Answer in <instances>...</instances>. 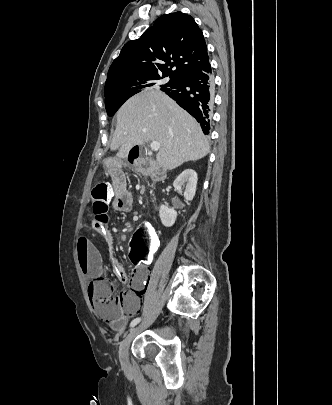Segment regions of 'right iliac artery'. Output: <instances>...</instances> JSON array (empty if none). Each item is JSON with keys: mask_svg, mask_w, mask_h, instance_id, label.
<instances>
[{"mask_svg": "<svg viewBox=\"0 0 332 405\" xmlns=\"http://www.w3.org/2000/svg\"><path fill=\"white\" fill-rule=\"evenodd\" d=\"M141 318H135L134 320H132V322L130 323V327H134L135 325H137L140 322Z\"/></svg>", "mask_w": 332, "mask_h": 405, "instance_id": "1", "label": "right iliac artery"}]
</instances>
